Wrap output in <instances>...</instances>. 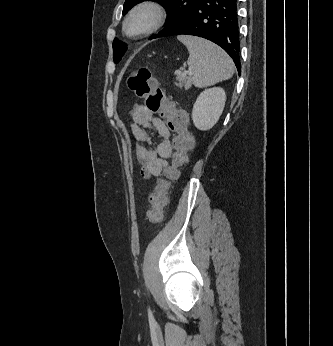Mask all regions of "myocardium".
Wrapping results in <instances>:
<instances>
[{"instance_id": "1", "label": "myocardium", "mask_w": 333, "mask_h": 346, "mask_svg": "<svg viewBox=\"0 0 333 346\" xmlns=\"http://www.w3.org/2000/svg\"><path fill=\"white\" fill-rule=\"evenodd\" d=\"M148 11L152 14V22L148 27L137 32H131L128 29L129 22L140 12ZM167 9L163 3L158 0H143L137 3L126 15L122 32L129 38H139L156 32L165 23L167 18Z\"/></svg>"}]
</instances>
